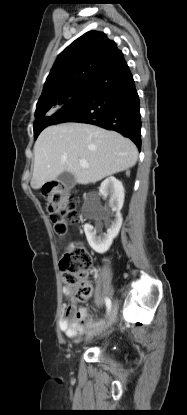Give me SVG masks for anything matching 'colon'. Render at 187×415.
I'll return each instance as SVG.
<instances>
[{
	"mask_svg": "<svg viewBox=\"0 0 187 415\" xmlns=\"http://www.w3.org/2000/svg\"><path fill=\"white\" fill-rule=\"evenodd\" d=\"M44 196L54 231L64 236L69 228L79 223L74 190L62 182L52 181L44 186ZM91 263L90 255L81 247L71 249L60 261V269L64 273L70 296L78 302L87 300L92 294V285L85 278V272Z\"/></svg>",
	"mask_w": 187,
	"mask_h": 415,
	"instance_id": "5ec220e1",
	"label": "colon"
}]
</instances>
